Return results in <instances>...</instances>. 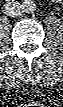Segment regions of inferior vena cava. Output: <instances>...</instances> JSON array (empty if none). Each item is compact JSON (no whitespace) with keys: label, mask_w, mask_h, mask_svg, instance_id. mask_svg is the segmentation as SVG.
<instances>
[{"label":"inferior vena cava","mask_w":63,"mask_h":107,"mask_svg":"<svg viewBox=\"0 0 63 107\" xmlns=\"http://www.w3.org/2000/svg\"><path fill=\"white\" fill-rule=\"evenodd\" d=\"M21 8V4L18 1H8L4 6V13L7 16L14 17L20 14Z\"/></svg>","instance_id":"602c4592"}]
</instances>
